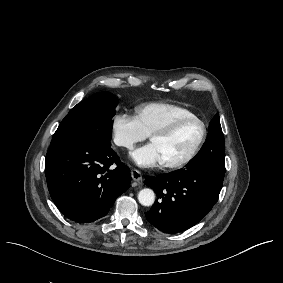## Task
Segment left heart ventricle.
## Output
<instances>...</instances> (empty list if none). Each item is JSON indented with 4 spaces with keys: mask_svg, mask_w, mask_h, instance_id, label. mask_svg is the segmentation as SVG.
<instances>
[{
    "mask_svg": "<svg viewBox=\"0 0 283 283\" xmlns=\"http://www.w3.org/2000/svg\"><path fill=\"white\" fill-rule=\"evenodd\" d=\"M201 134V125L195 121L181 124L170 138H153L161 149L165 163L184 159L194 148Z\"/></svg>",
    "mask_w": 283,
    "mask_h": 283,
    "instance_id": "b2bd125f",
    "label": "left heart ventricle"
}]
</instances>
